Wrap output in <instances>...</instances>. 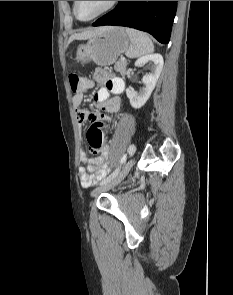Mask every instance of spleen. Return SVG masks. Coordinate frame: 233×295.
Here are the masks:
<instances>
[{
    "instance_id": "1",
    "label": "spleen",
    "mask_w": 233,
    "mask_h": 295,
    "mask_svg": "<svg viewBox=\"0 0 233 295\" xmlns=\"http://www.w3.org/2000/svg\"><path fill=\"white\" fill-rule=\"evenodd\" d=\"M126 32L132 43V46L126 51L127 57L137 58L154 51L152 40L146 33L133 28H126Z\"/></svg>"
}]
</instances>
